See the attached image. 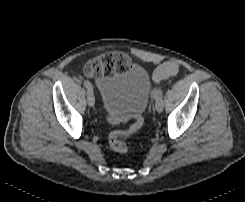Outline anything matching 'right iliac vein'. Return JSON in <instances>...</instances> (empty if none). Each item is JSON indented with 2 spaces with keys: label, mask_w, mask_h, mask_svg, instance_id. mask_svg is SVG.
I'll use <instances>...</instances> for the list:
<instances>
[{
  "label": "right iliac vein",
  "mask_w": 245,
  "mask_h": 202,
  "mask_svg": "<svg viewBox=\"0 0 245 202\" xmlns=\"http://www.w3.org/2000/svg\"><path fill=\"white\" fill-rule=\"evenodd\" d=\"M87 102H88V105L93 107L94 104H95V96H94V93L92 90H88V93H87Z\"/></svg>",
  "instance_id": "1"
}]
</instances>
